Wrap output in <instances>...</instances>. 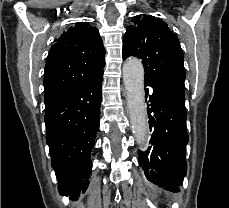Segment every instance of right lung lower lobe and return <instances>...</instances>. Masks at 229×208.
<instances>
[{
	"mask_svg": "<svg viewBox=\"0 0 229 208\" xmlns=\"http://www.w3.org/2000/svg\"><path fill=\"white\" fill-rule=\"evenodd\" d=\"M103 70L45 103L46 142L62 195L76 200L88 187L90 153L99 128Z\"/></svg>",
	"mask_w": 229,
	"mask_h": 208,
	"instance_id": "98d812e1",
	"label": "right lung lower lobe"
}]
</instances>
